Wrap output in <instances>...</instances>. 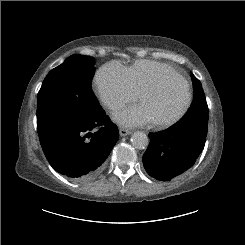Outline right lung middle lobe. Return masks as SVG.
Returning <instances> with one entry per match:
<instances>
[{"label":"right lung middle lobe","instance_id":"dd1d6c3e","mask_svg":"<svg viewBox=\"0 0 245 245\" xmlns=\"http://www.w3.org/2000/svg\"><path fill=\"white\" fill-rule=\"evenodd\" d=\"M94 60L72 55L52 69L37 98L38 133L66 120L94 116L101 110L91 91Z\"/></svg>","mask_w":245,"mask_h":245}]
</instances>
